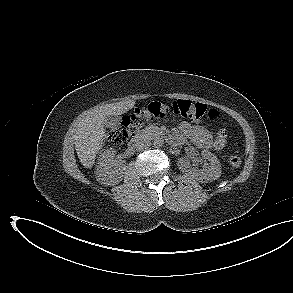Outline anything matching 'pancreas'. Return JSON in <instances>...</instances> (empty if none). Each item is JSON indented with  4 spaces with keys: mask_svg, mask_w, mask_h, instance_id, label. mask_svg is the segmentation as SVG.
<instances>
[{
    "mask_svg": "<svg viewBox=\"0 0 293 293\" xmlns=\"http://www.w3.org/2000/svg\"><path fill=\"white\" fill-rule=\"evenodd\" d=\"M143 133L147 136V137H156L162 134L161 130L159 127L154 126V125H150L148 127H146L143 130Z\"/></svg>",
    "mask_w": 293,
    "mask_h": 293,
    "instance_id": "pancreas-1",
    "label": "pancreas"
}]
</instances>
